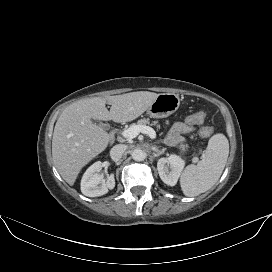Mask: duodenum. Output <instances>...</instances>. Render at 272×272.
Here are the masks:
<instances>
[{
    "mask_svg": "<svg viewBox=\"0 0 272 272\" xmlns=\"http://www.w3.org/2000/svg\"><path fill=\"white\" fill-rule=\"evenodd\" d=\"M114 141H115V136H114V134H111L110 142H111V143H114Z\"/></svg>",
    "mask_w": 272,
    "mask_h": 272,
    "instance_id": "1",
    "label": "duodenum"
}]
</instances>
